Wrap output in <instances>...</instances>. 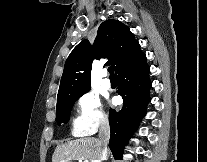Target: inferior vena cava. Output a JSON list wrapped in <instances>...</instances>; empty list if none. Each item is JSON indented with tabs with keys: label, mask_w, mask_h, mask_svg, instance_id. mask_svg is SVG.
Listing matches in <instances>:
<instances>
[{
	"label": "inferior vena cava",
	"mask_w": 207,
	"mask_h": 162,
	"mask_svg": "<svg viewBox=\"0 0 207 162\" xmlns=\"http://www.w3.org/2000/svg\"><path fill=\"white\" fill-rule=\"evenodd\" d=\"M110 139V125L107 118H103L100 123L99 128V140L101 144L103 145V149L100 154V159L98 162H101L102 160L107 159V145L109 143Z\"/></svg>",
	"instance_id": "inferior-vena-cava-1"
}]
</instances>
